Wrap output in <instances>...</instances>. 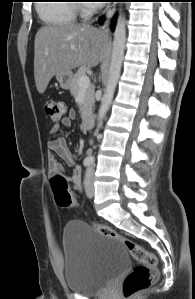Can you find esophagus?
Masks as SVG:
<instances>
[{"instance_id": "34e87169", "label": "esophagus", "mask_w": 195, "mask_h": 299, "mask_svg": "<svg viewBox=\"0 0 195 299\" xmlns=\"http://www.w3.org/2000/svg\"><path fill=\"white\" fill-rule=\"evenodd\" d=\"M114 13H115V3L109 2L104 11L105 20L101 26V29L106 33L109 31L110 21L114 15Z\"/></svg>"}]
</instances>
